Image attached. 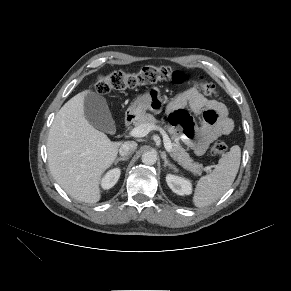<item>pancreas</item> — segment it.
<instances>
[{
    "label": "pancreas",
    "mask_w": 291,
    "mask_h": 291,
    "mask_svg": "<svg viewBox=\"0 0 291 291\" xmlns=\"http://www.w3.org/2000/svg\"><path fill=\"white\" fill-rule=\"evenodd\" d=\"M159 121L151 114H144L141 116L136 122L135 126H140L142 124H147L150 126H155ZM167 130L171 136V139L174 140L173 147H172V157L175 161L178 162L184 169L192 172L194 175H200L203 167L201 164L196 163L193 159L189 156L186 150L182 147L178 140V133L177 131L167 126Z\"/></svg>",
    "instance_id": "1"
}]
</instances>
